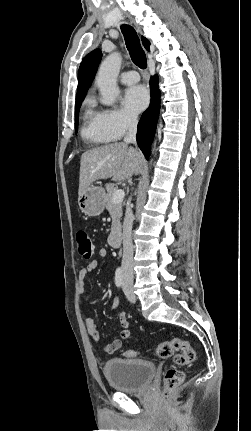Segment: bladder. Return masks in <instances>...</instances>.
Returning a JSON list of instances; mask_svg holds the SVG:
<instances>
[{"label": "bladder", "mask_w": 251, "mask_h": 431, "mask_svg": "<svg viewBox=\"0 0 251 431\" xmlns=\"http://www.w3.org/2000/svg\"><path fill=\"white\" fill-rule=\"evenodd\" d=\"M155 365L148 360L114 358L105 362L103 374L109 386L118 392L139 393L151 382Z\"/></svg>", "instance_id": "obj_1"}]
</instances>
